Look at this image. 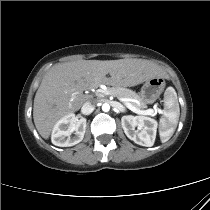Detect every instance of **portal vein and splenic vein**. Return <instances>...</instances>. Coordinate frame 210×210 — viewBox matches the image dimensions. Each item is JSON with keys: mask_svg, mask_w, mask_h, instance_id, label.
Returning a JSON list of instances; mask_svg holds the SVG:
<instances>
[{"mask_svg": "<svg viewBox=\"0 0 210 210\" xmlns=\"http://www.w3.org/2000/svg\"><path fill=\"white\" fill-rule=\"evenodd\" d=\"M96 95L99 97H103L104 95H110L109 91L107 90H102V89H98L96 92ZM121 102L124 103V105L131 110L132 112L138 113V114H144V115H151L154 112H157V109L153 110V109H148V110H140L138 108H136L135 106H133L130 102H128L126 99H121Z\"/></svg>", "mask_w": 210, "mask_h": 210, "instance_id": "1", "label": "portal vein and splenic vein"}]
</instances>
